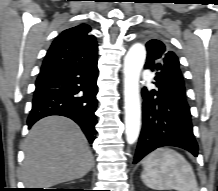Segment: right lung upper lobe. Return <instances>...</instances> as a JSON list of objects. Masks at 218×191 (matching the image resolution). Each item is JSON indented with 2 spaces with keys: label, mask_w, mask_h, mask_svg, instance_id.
Masks as SVG:
<instances>
[{
  "label": "right lung upper lobe",
  "mask_w": 218,
  "mask_h": 191,
  "mask_svg": "<svg viewBox=\"0 0 218 191\" xmlns=\"http://www.w3.org/2000/svg\"><path fill=\"white\" fill-rule=\"evenodd\" d=\"M91 28L87 24H80L62 32L60 36L79 42H96L95 36L90 34Z\"/></svg>",
  "instance_id": "1"
}]
</instances>
